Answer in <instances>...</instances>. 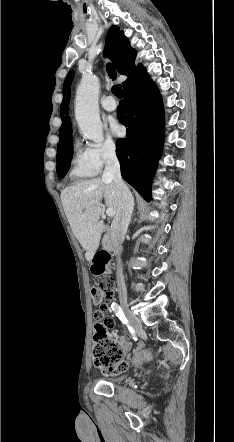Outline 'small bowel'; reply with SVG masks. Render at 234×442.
I'll list each match as a JSON object with an SVG mask.
<instances>
[{
    "instance_id": "obj_1",
    "label": "small bowel",
    "mask_w": 234,
    "mask_h": 442,
    "mask_svg": "<svg viewBox=\"0 0 234 442\" xmlns=\"http://www.w3.org/2000/svg\"><path fill=\"white\" fill-rule=\"evenodd\" d=\"M109 311V306H105V308H101L96 311L95 313V322L93 324L94 331H112L114 328L117 327V325L122 326L123 322L119 321L117 322V317L114 314L107 315L103 314L105 312ZM118 341L120 342L123 352L128 351L131 346L130 344L125 340V338H119ZM144 347L143 343L139 342L137 343L133 348L132 351Z\"/></svg>"
}]
</instances>
